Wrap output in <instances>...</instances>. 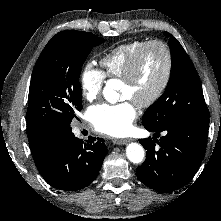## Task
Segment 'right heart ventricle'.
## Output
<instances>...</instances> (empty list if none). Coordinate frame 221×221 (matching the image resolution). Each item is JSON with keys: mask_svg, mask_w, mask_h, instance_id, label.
<instances>
[{"mask_svg": "<svg viewBox=\"0 0 221 221\" xmlns=\"http://www.w3.org/2000/svg\"><path fill=\"white\" fill-rule=\"evenodd\" d=\"M145 41L138 40L117 45L108 50L100 59L105 77L122 78L127 66Z\"/></svg>", "mask_w": 221, "mask_h": 221, "instance_id": "e07e8e85", "label": "right heart ventricle"}]
</instances>
